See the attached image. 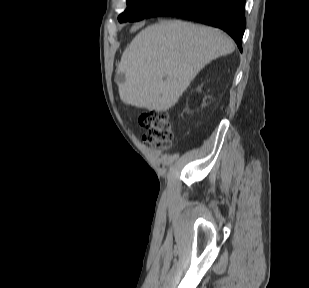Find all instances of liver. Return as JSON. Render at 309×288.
<instances>
[{"instance_id": "liver-1", "label": "liver", "mask_w": 309, "mask_h": 288, "mask_svg": "<svg viewBox=\"0 0 309 288\" xmlns=\"http://www.w3.org/2000/svg\"><path fill=\"white\" fill-rule=\"evenodd\" d=\"M233 40L219 29L179 20L139 32L123 52L117 74L120 99L150 111L173 107L212 60L232 53Z\"/></svg>"}]
</instances>
